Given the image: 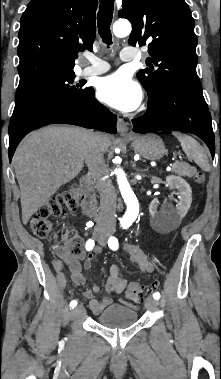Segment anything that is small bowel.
I'll use <instances>...</instances> for the list:
<instances>
[{"mask_svg": "<svg viewBox=\"0 0 221 379\" xmlns=\"http://www.w3.org/2000/svg\"><path fill=\"white\" fill-rule=\"evenodd\" d=\"M125 251L128 253L130 260L137 264L139 269L143 273H151L153 271V264L147 257V255L135 244L127 243L124 246ZM100 253L99 248H95L90 253L84 262V268L90 269L92 262L96 256ZM59 259L54 261V267L57 271L58 281L61 287H64L66 280L62 272L63 263H65L71 271L72 281L81 286L85 283V277L82 273V266L78 258L68 255L64 249L58 250ZM129 285L128 281L121 276L120 268L118 265L113 264L109 268V275L105 285L106 295L98 300L95 298V294L100 291L98 285H92V287L84 292V297L89 300V307L94 314H99L102 310L108 307L112 303L110 294H121Z\"/></svg>", "mask_w": 221, "mask_h": 379, "instance_id": "1", "label": "small bowel"}]
</instances>
